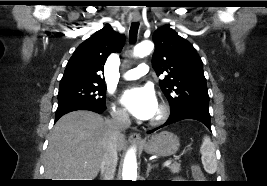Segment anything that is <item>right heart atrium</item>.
Listing matches in <instances>:
<instances>
[{
  "label": "right heart atrium",
  "mask_w": 267,
  "mask_h": 186,
  "mask_svg": "<svg viewBox=\"0 0 267 186\" xmlns=\"http://www.w3.org/2000/svg\"><path fill=\"white\" fill-rule=\"evenodd\" d=\"M111 116L115 121L119 123L128 122V115L126 114V112L114 103H111Z\"/></svg>",
  "instance_id": "1"
}]
</instances>
